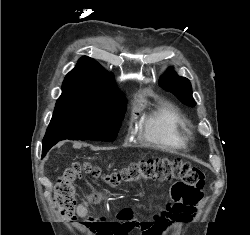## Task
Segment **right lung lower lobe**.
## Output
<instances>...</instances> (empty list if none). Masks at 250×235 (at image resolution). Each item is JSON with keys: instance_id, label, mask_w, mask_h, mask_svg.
I'll return each instance as SVG.
<instances>
[{"instance_id": "right-lung-lower-lobe-1", "label": "right lung lower lobe", "mask_w": 250, "mask_h": 235, "mask_svg": "<svg viewBox=\"0 0 250 235\" xmlns=\"http://www.w3.org/2000/svg\"><path fill=\"white\" fill-rule=\"evenodd\" d=\"M57 142H49V143H45L43 144V150H42V157H44L46 155V153L49 151V149L54 146Z\"/></svg>"}]
</instances>
